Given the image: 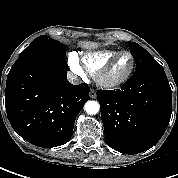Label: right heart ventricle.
<instances>
[{"label":"right heart ventricle","instance_id":"e07e8e85","mask_svg":"<svg viewBox=\"0 0 178 178\" xmlns=\"http://www.w3.org/2000/svg\"><path fill=\"white\" fill-rule=\"evenodd\" d=\"M119 52L120 51L117 50H102L92 52L82 56L81 62L90 72H97Z\"/></svg>","mask_w":178,"mask_h":178}]
</instances>
